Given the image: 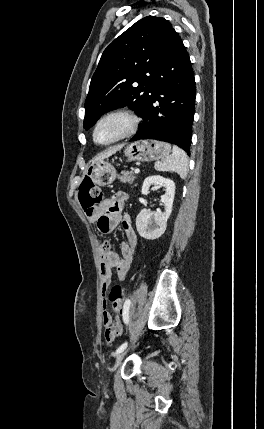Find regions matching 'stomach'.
<instances>
[{
    "label": "stomach",
    "mask_w": 264,
    "mask_h": 429,
    "mask_svg": "<svg viewBox=\"0 0 264 429\" xmlns=\"http://www.w3.org/2000/svg\"><path fill=\"white\" fill-rule=\"evenodd\" d=\"M171 152L170 144L157 140H140L128 144L124 154L130 160L136 161H158L165 159ZM86 177H89L95 184L107 185L116 178L115 168L105 160L92 163L86 170Z\"/></svg>",
    "instance_id": "obj_1"
}]
</instances>
